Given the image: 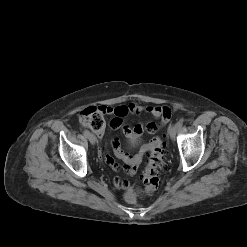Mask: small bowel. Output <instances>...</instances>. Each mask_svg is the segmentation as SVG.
<instances>
[{
    "instance_id": "1",
    "label": "small bowel",
    "mask_w": 247,
    "mask_h": 247,
    "mask_svg": "<svg viewBox=\"0 0 247 247\" xmlns=\"http://www.w3.org/2000/svg\"><path fill=\"white\" fill-rule=\"evenodd\" d=\"M105 113L111 116L110 126L113 129L122 128L124 135L127 138L134 139L140 137L144 131L149 133H155L161 126L165 125L171 116V110L167 106H143L137 103H130L128 105H121L117 107H103ZM149 113L152 115L158 122H149L147 124H137L134 127L123 124V119L128 114H140V113ZM160 141L158 138H154L149 145H144L141 147L140 151L137 154H130L129 152L124 151L119 143L117 138H112L107 144L103 147V154L106 163L114 170H124L130 175H134L137 170V165L141 162L142 155L149 149L151 146ZM110 149H112L115 156L124 161V165L120 166L115 162L113 157L110 155ZM115 187L119 189H129V181L122 179L120 177H115L113 180Z\"/></svg>"
}]
</instances>
